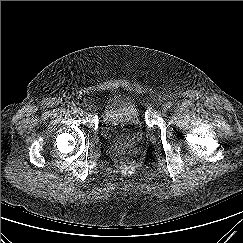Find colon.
Here are the masks:
<instances>
[{
  "label": "colon",
  "mask_w": 243,
  "mask_h": 243,
  "mask_svg": "<svg viewBox=\"0 0 243 243\" xmlns=\"http://www.w3.org/2000/svg\"><path fill=\"white\" fill-rule=\"evenodd\" d=\"M121 167L126 172H132L136 169V164L132 159L124 158L121 161Z\"/></svg>",
  "instance_id": "obj_1"
}]
</instances>
